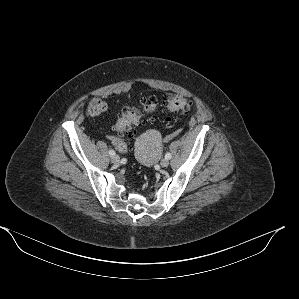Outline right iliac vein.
I'll return each mask as SVG.
<instances>
[{
	"label": "right iliac vein",
	"mask_w": 299,
	"mask_h": 299,
	"mask_svg": "<svg viewBox=\"0 0 299 299\" xmlns=\"http://www.w3.org/2000/svg\"><path fill=\"white\" fill-rule=\"evenodd\" d=\"M111 161L113 164H119L120 163V157L118 155H113L111 157Z\"/></svg>",
	"instance_id": "1"
}]
</instances>
